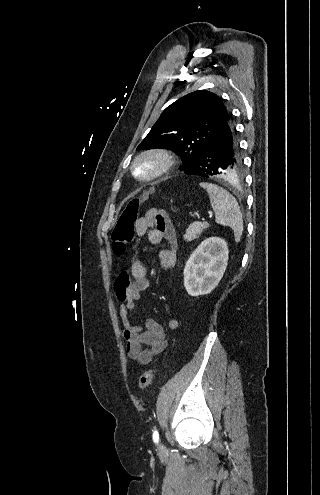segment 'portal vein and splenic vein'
Here are the masks:
<instances>
[{
  "label": "portal vein and splenic vein",
  "instance_id": "portal-vein-and-splenic-vein-1",
  "mask_svg": "<svg viewBox=\"0 0 320 495\" xmlns=\"http://www.w3.org/2000/svg\"><path fill=\"white\" fill-rule=\"evenodd\" d=\"M211 217H212V214L210 213V216H209V218H211Z\"/></svg>",
  "mask_w": 320,
  "mask_h": 495
}]
</instances>
